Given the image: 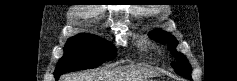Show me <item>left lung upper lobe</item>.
Here are the masks:
<instances>
[{"label": "left lung upper lobe", "instance_id": "left-lung-upper-lobe-1", "mask_svg": "<svg viewBox=\"0 0 237 81\" xmlns=\"http://www.w3.org/2000/svg\"><path fill=\"white\" fill-rule=\"evenodd\" d=\"M150 37L160 43L168 44V48L171 51V54L176 58V62L171 63L172 68L177 74L191 79V66L185 55L175 50V47L178 43L175 37L167 32L159 31L152 33Z\"/></svg>", "mask_w": 237, "mask_h": 81}]
</instances>
